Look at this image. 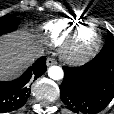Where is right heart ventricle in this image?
Instances as JSON below:
<instances>
[{"mask_svg":"<svg viewBox=\"0 0 114 114\" xmlns=\"http://www.w3.org/2000/svg\"><path fill=\"white\" fill-rule=\"evenodd\" d=\"M77 23L78 21L70 18L53 19L46 22L41 30L48 42L59 45L65 41L69 32Z\"/></svg>","mask_w":114,"mask_h":114,"instance_id":"1","label":"right heart ventricle"}]
</instances>
